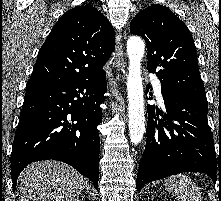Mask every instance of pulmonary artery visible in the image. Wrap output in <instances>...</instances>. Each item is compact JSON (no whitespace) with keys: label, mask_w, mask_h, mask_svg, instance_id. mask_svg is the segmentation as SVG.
I'll return each mask as SVG.
<instances>
[{"label":"pulmonary artery","mask_w":221,"mask_h":201,"mask_svg":"<svg viewBox=\"0 0 221 201\" xmlns=\"http://www.w3.org/2000/svg\"><path fill=\"white\" fill-rule=\"evenodd\" d=\"M149 78L152 80L153 84H154V88H155V92H156V95L159 99H162V94H161V83L160 81L158 80V78L153 75V74H150L149 75Z\"/></svg>","instance_id":"1"}]
</instances>
